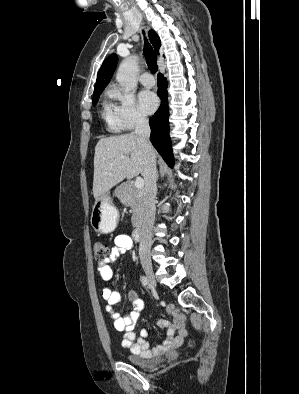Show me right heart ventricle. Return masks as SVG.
<instances>
[{
  "instance_id": "obj_1",
  "label": "right heart ventricle",
  "mask_w": 299,
  "mask_h": 394,
  "mask_svg": "<svg viewBox=\"0 0 299 394\" xmlns=\"http://www.w3.org/2000/svg\"><path fill=\"white\" fill-rule=\"evenodd\" d=\"M102 115H103L104 120L107 122L108 127L111 130L117 131L120 129L116 114L114 112V109H113L111 103H109L107 101L104 103V109H103Z\"/></svg>"
}]
</instances>
